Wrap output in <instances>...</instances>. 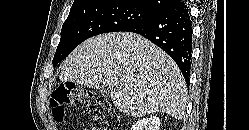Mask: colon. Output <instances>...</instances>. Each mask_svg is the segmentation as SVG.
Returning a JSON list of instances; mask_svg holds the SVG:
<instances>
[{"instance_id":"colon-1","label":"colon","mask_w":249,"mask_h":130,"mask_svg":"<svg viewBox=\"0 0 249 130\" xmlns=\"http://www.w3.org/2000/svg\"><path fill=\"white\" fill-rule=\"evenodd\" d=\"M83 104L88 107L96 117L105 119L109 104L100 97H95L91 92L74 83H61L50 96V106L57 122H61L65 116V108Z\"/></svg>"}]
</instances>
